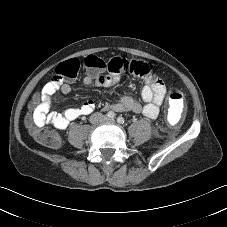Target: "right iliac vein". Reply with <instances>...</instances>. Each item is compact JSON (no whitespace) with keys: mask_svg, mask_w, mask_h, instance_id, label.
<instances>
[{"mask_svg":"<svg viewBox=\"0 0 227 227\" xmlns=\"http://www.w3.org/2000/svg\"><path fill=\"white\" fill-rule=\"evenodd\" d=\"M98 119L102 120V119H103V117L99 115V116H98Z\"/></svg>","mask_w":227,"mask_h":227,"instance_id":"obj_1","label":"right iliac vein"}]
</instances>
